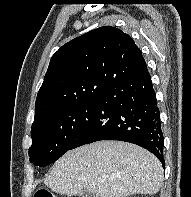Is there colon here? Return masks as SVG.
<instances>
[{"mask_svg":"<svg viewBox=\"0 0 191 197\" xmlns=\"http://www.w3.org/2000/svg\"><path fill=\"white\" fill-rule=\"evenodd\" d=\"M34 197H59V196H56L55 194L51 193L46 189H41L35 193Z\"/></svg>","mask_w":191,"mask_h":197,"instance_id":"5ec220e1","label":"colon"}]
</instances>
